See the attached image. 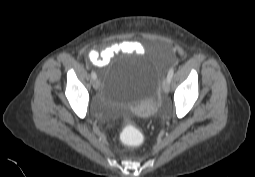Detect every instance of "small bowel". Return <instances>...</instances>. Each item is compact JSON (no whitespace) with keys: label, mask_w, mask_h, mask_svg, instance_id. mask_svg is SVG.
<instances>
[{"label":"small bowel","mask_w":255,"mask_h":177,"mask_svg":"<svg viewBox=\"0 0 255 177\" xmlns=\"http://www.w3.org/2000/svg\"><path fill=\"white\" fill-rule=\"evenodd\" d=\"M143 46L135 41H119L116 42L105 49L91 50L88 54V60L91 64L103 67L110 63V61L114 58V56L121 52H143Z\"/></svg>","instance_id":"obj_1"}]
</instances>
